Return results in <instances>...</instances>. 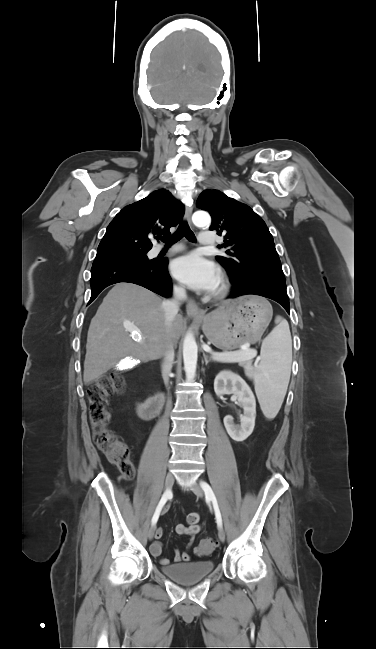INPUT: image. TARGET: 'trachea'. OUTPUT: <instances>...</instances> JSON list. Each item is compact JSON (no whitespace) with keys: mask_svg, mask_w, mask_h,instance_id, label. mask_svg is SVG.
<instances>
[{"mask_svg":"<svg viewBox=\"0 0 376 649\" xmlns=\"http://www.w3.org/2000/svg\"><path fill=\"white\" fill-rule=\"evenodd\" d=\"M183 237H185L190 242L196 241L195 235L191 231L187 222L180 223L178 229L171 236L159 237L158 239H160L166 245H172L181 240Z\"/></svg>","mask_w":376,"mask_h":649,"instance_id":"trachea-1","label":"trachea"}]
</instances>
